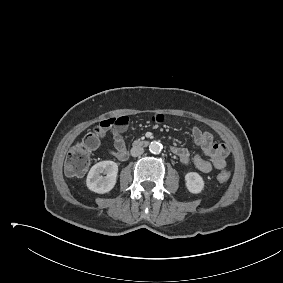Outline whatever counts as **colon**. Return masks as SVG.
I'll return each instance as SVG.
<instances>
[{
	"label": "colon",
	"mask_w": 283,
	"mask_h": 283,
	"mask_svg": "<svg viewBox=\"0 0 283 283\" xmlns=\"http://www.w3.org/2000/svg\"><path fill=\"white\" fill-rule=\"evenodd\" d=\"M101 127L95 128L86 134L83 139L71 148L66 157V171L71 176L83 175L89 168L91 154L100 144ZM231 173L222 169L217 173V180L225 183L230 179Z\"/></svg>",
	"instance_id": "5ec220e1"
}]
</instances>
